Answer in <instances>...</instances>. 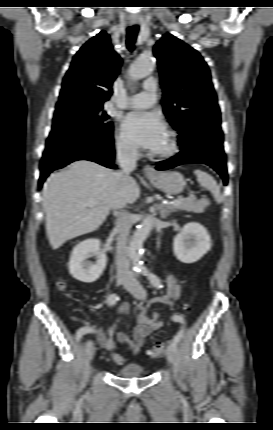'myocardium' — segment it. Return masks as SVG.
<instances>
[{"label":"myocardium","instance_id":"myocardium-1","mask_svg":"<svg viewBox=\"0 0 273 430\" xmlns=\"http://www.w3.org/2000/svg\"><path fill=\"white\" fill-rule=\"evenodd\" d=\"M167 136L169 138L168 147L163 151H156L153 153V156L157 159H169L179 152V138L177 133L169 129L167 131Z\"/></svg>","mask_w":273,"mask_h":430}]
</instances>
